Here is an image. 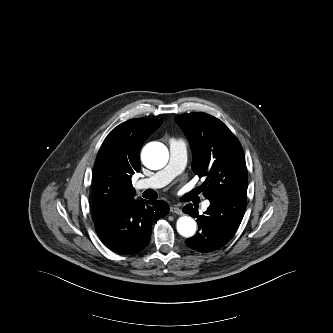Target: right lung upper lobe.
Masks as SVG:
<instances>
[{
    "label": "right lung upper lobe",
    "mask_w": 333,
    "mask_h": 333,
    "mask_svg": "<svg viewBox=\"0 0 333 333\" xmlns=\"http://www.w3.org/2000/svg\"><path fill=\"white\" fill-rule=\"evenodd\" d=\"M163 120L137 118L114 128L98 152L93 171V201L120 200L127 203L135 194L131 178L141 167L139 151Z\"/></svg>",
    "instance_id": "1"
}]
</instances>
